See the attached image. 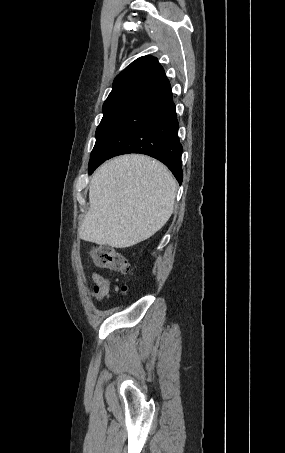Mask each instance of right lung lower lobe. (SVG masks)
<instances>
[{
    "mask_svg": "<svg viewBox=\"0 0 285 453\" xmlns=\"http://www.w3.org/2000/svg\"><path fill=\"white\" fill-rule=\"evenodd\" d=\"M170 83L165 75L148 81L116 113L89 162V174L109 158L142 153L164 163L182 183V145Z\"/></svg>",
    "mask_w": 285,
    "mask_h": 453,
    "instance_id": "obj_1",
    "label": "right lung lower lobe"
}]
</instances>
